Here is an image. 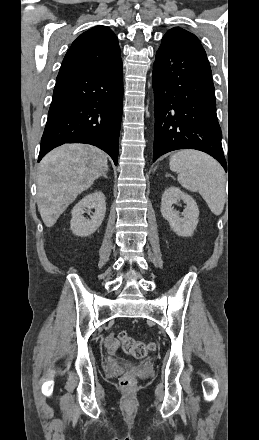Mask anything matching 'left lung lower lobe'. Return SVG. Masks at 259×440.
<instances>
[{
  "mask_svg": "<svg viewBox=\"0 0 259 440\" xmlns=\"http://www.w3.org/2000/svg\"><path fill=\"white\" fill-rule=\"evenodd\" d=\"M152 81L153 162L167 152L189 148L208 153L227 170L211 68L202 45L188 39L163 37Z\"/></svg>",
  "mask_w": 259,
  "mask_h": 440,
  "instance_id": "obj_1",
  "label": "left lung lower lobe"
}]
</instances>
